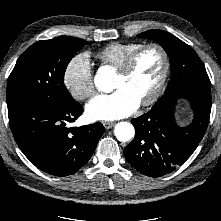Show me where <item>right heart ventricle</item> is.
Wrapping results in <instances>:
<instances>
[{"instance_id":"e07e8e85","label":"right heart ventricle","mask_w":221,"mask_h":221,"mask_svg":"<svg viewBox=\"0 0 221 221\" xmlns=\"http://www.w3.org/2000/svg\"><path fill=\"white\" fill-rule=\"evenodd\" d=\"M141 45L143 44L136 42H114L103 47L96 56L102 63L118 69L126 58Z\"/></svg>"}]
</instances>
